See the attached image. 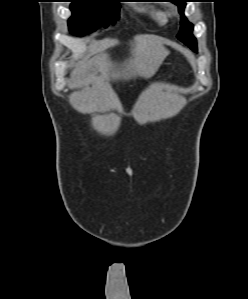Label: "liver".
<instances>
[{"label": "liver", "mask_w": 248, "mask_h": 299, "mask_svg": "<svg viewBox=\"0 0 248 299\" xmlns=\"http://www.w3.org/2000/svg\"><path fill=\"white\" fill-rule=\"evenodd\" d=\"M116 44L109 39L92 43L89 53L79 61L71 72L69 86L79 88L91 81L96 72L102 79H131L137 76L152 77L169 51L163 46V39L156 35H137L131 42V56L121 64L113 63L104 51ZM96 54L91 58V55ZM99 54V55H98Z\"/></svg>", "instance_id": "6515ba94"}]
</instances>
